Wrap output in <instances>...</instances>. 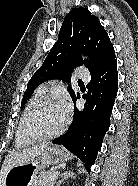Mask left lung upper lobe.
I'll return each instance as SVG.
<instances>
[{
	"mask_svg": "<svg viewBox=\"0 0 138 186\" xmlns=\"http://www.w3.org/2000/svg\"><path fill=\"white\" fill-rule=\"evenodd\" d=\"M79 53L88 55L90 60L83 61ZM113 61L115 51L99 19L86 8H74L64 18L58 41L28 82L21 107L39 84L51 79L69 81V74L83 64L92 74ZM67 89L73 99L75 92L71 86Z\"/></svg>",
	"mask_w": 138,
	"mask_h": 186,
	"instance_id": "5c2ea615",
	"label": "left lung upper lobe"
}]
</instances>
